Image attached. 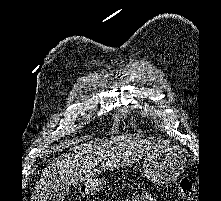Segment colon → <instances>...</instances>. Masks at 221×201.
Wrapping results in <instances>:
<instances>
[{
	"label": "colon",
	"mask_w": 221,
	"mask_h": 201,
	"mask_svg": "<svg viewBox=\"0 0 221 201\" xmlns=\"http://www.w3.org/2000/svg\"><path fill=\"white\" fill-rule=\"evenodd\" d=\"M179 195L182 201H194L195 189L190 179L183 178L179 182Z\"/></svg>",
	"instance_id": "obj_1"
}]
</instances>
